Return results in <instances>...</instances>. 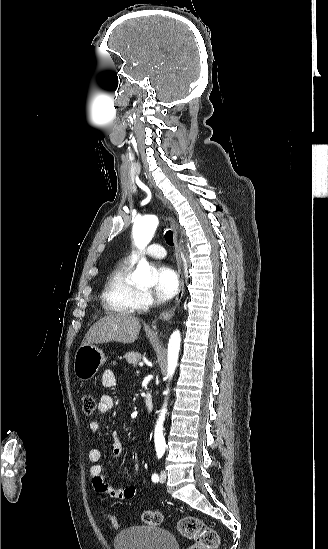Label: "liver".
<instances>
[{
    "label": "liver",
    "instance_id": "6515ba94",
    "mask_svg": "<svg viewBox=\"0 0 328 549\" xmlns=\"http://www.w3.org/2000/svg\"><path fill=\"white\" fill-rule=\"evenodd\" d=\"M141 329L140 321L133 315L110 313L102 317L90 327L82 345H98V343H135Z\"/></svg>",
    "mask_w": 328,
    "mask_h": 549
}]
</instances>
